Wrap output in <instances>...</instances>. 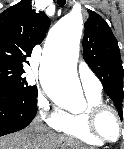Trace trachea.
I'll return each mask as SVG.
<instances>
[{
    "label": "trachea",
    "instance_id": "1",
    "mask_svg": "<svg viewBox=\"0 0 124 149\" xmlns=\"http://www.w3.org/2000/svg\"><path fill=\"white\" fill-rule=\"evenodd\" d=\"M57 3L60 7H64L66 0H57Z\"/></svg>",
    "mask_w": 124,
    "mask_h": 149
}]
</instances>
